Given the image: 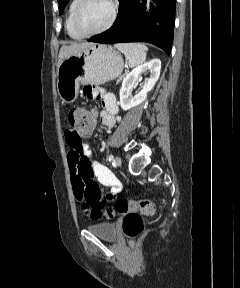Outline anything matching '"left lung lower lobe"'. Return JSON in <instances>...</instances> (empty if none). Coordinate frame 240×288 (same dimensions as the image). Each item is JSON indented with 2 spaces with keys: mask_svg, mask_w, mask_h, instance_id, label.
Segmentation results:
<instances>
[{
  "mask_svg": "<svg viewBox=\"0 0 240 288\" xmlns=\"http://www.w3.org/2000/svg\"><path fill=\"white\" fill-rule=\"evenodd\" d=\"M119 4L112 27L88 41L148 42L170 55L176 0H119Z\"/></svg>",
  "mask_w": 240,
  "mask_h": 288,
  "instance_id": "1",
  "label": "left lung lower lobe"
}]
</instances>
